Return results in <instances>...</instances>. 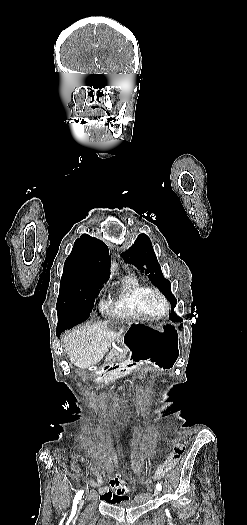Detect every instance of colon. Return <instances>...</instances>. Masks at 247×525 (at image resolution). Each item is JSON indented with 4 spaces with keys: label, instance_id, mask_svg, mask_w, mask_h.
<instances>
[{
    "label": "colon",
    "instance_id": "1",
    "mask_svg": "<svg viewBox=\"0 0 247 525\" xmlns=\"http://www.w3.org/2000/svg\"><path fill=\"white\" fill-rule=\"evenodd\" d=\"M105 424H108L109 426H124L125 424H134V421H125L124 419H109L108 421H105ZM126 430H129V427H126Z\"/></svg>",
    "mask_w": 247,
    "mask_h": 525
}]
</instances>
